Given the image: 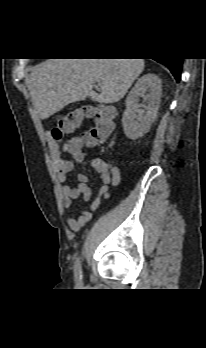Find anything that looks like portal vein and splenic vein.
I'll use <instances>...</instances> for the list:
<instances>
[{"label":"portal vein and splenic vein","mask_w":206,"mask_h":348,"mask_svg":"<svg viewBox=\"0 0 206 348\" xmlns=\"http://www.w3.org/2000/svg\"><path fill=\"white\" fill-rule=\"evenodd\" d=\"M99 86H100L99 83H97V84L95 85L96 88H98Z\"/></svg>","instance_id":"portal-vein-and-splenic-vein-1"}]
</instances>
